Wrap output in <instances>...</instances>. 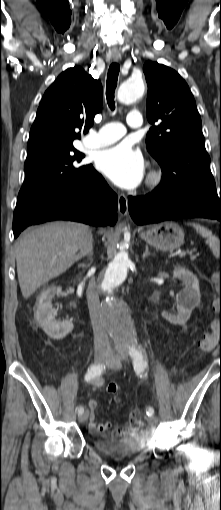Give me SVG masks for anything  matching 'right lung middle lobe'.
<instances>
[{"label":"right lung middle lobe","mask_w":221,"mask_h":510,"mask_svg":"<svg viewBox=\"0 0 221 510\" xmlns=\"http://www.w3.org/2000/svg\"><path fill=\"white\" fill-rule=\"evenodd\" d=\"M84 154L73 146L43 148L28 153L25 180L19 192L14 216L22 218L43 197L76 183L89 165L81 164Z\"/></svg>","instance_id":"right-lung-middle-lobe-1"}]
</instances>
